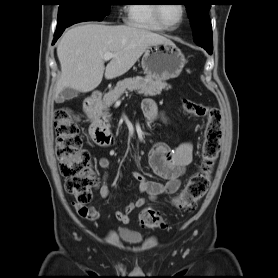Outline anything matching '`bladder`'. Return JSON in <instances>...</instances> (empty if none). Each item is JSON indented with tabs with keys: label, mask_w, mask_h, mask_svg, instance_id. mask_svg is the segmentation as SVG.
Here are the masks:
<instances>
[{
	"label": "bladder",
	"mask_w": 278,
	"mask_h": 278,
	"mask_svg": "<svg viewBox=\"0 0 278 278\" xmlns=\"http://www.w3.org/2000/svg\"><path fill=\"white\" fill-rule=\"evenodd\" d=\"M119 237L126 243L134 244L141 241V236L129 231L121 230L119 231Z\"/></svg>",
	"instance_id": "bladder-1"
}]
</instances>
